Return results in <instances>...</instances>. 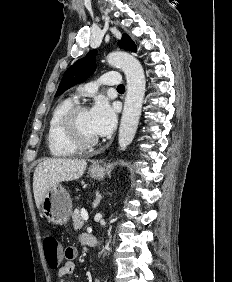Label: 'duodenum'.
<instances>
[{
	"label": "duodenum",
	"mask_w": 232,
	"mask_h": 282,
	"mask_svg": "<svg viewBox=\"0 0 232 282\" xmlns=\"http://www.w3.org/2000/svg\"><path fill=\"white\" fill-rule=\"evenodd\" d=\"M86 244L90 247H94L97 244V239L94 236L89 235Z\"/></svg>",
	"instance_id": "410a0bca"
}]
</instances>
